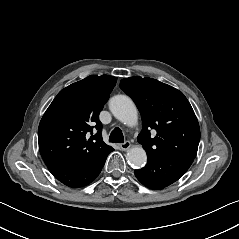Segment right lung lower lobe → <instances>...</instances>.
I'll list each match as a JSON object with an SVG mask.
<instances>
[{
    "label": "right lung lower lobe",
    "instance_id": "obj_1",
    "mask_svg": "<svg viewBox=\"0 0 239 239\" xmlns=\"http://www.w3.org/2000/svg\"><path fill=\"white\" fill-rule=\"evenodd\" d=\"M114 149L111 147L88 163L59 164L47 166L60 182L68 187L79 188L91 183L101 172L106 158Z\"/></svg>",
    "mask_w": 239,
    "mask_h": 239
}]
</instances>
